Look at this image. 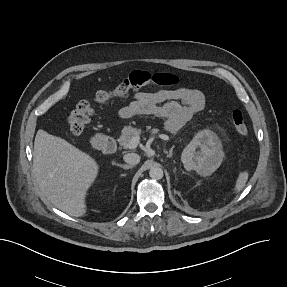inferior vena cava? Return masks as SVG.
I'll list each match as a JSON object with an SVG mask.
<instances>
[{"label":"inferior vena cava","mask_w":287,"mask_h":287,"mask_svg":"<svg viewBox=\"0 0 287 287\" xmlns=\"http://www.w3.org/2000/svg\"><path fill=\"white\" fill-rule=\"evenodd\" d=\"M124 161L130 165H136L140 162V156L136 153H128L123 157Z\"/></svg>","instance_id":"inferior-vena-cava-1"}]
</instances>
